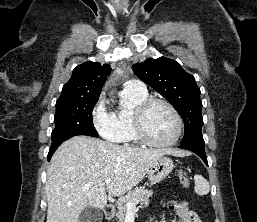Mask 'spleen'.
Listing matches in <instances>:
<instances>
[{
  "label": "spleen",
  "instance_id": "3e777b00",
  "mask_svg": "<svg viewBox=\"0 0 257 222\" xmlns=\"http://www.w3.org/2000/svg\"><path fill=\"white\" fill-rule=\"evenodd\" d=\"M195 191L198 195H206L210 191V186L208 181L201 175L196 174L194 176Z\"/></svg>",
  "mask_w": 257,
  "mask_h": 222
}]
</instances>
